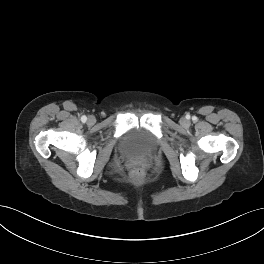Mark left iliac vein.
Here are the masks:
<instances>
[{
    "instance_id": "left-iliac-vein-1",
    "label": "left iliac vein",
    "mask_w": 264,
    "mask_h": 264,
    "mask_svg": "<svg viewBox=\"0 0 264 264\" xmlns=\"http://www.w3.org/2000/svg\"><path fill=\"white\" fill-rule=\"evenodd\" d=\"M182 124H183V125H187V124H188V121H187L186 119H183V120H182Z\"/></svg>"
}]
</instances>
